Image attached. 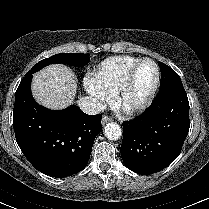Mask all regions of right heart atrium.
<instances>
[{
    "instance_id": "obj_1",
    "label": "right heart atrium",
    "mask_w": 209,
    "mask_h": 209,
    "mask_svg": "<svg viewBox=\"0 0 209 209\" xmlns=\"http://www.w3.org/2000/svg\"><path fill=\"white\" fill-rule=\"evenodd\" d=\"M84 87L87 93L97 102L102 105L111 100V95L107 93L93 78H86L84 80Z\"/></svg>"
}]
</instances>
